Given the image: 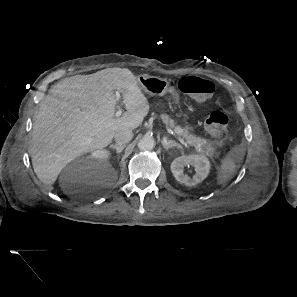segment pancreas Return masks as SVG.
Masks as SVG:
<instances>
[{
    "mask_svg": "<svg viewBox=\"0 0 297 297\" xmlns=\"http://www.w3.org/2000/svg\"><path fill=\"white\" fill-rule=\"evenodd\" d=\"M161 119L163 123L169 128L173 129L177 135H181L183 138L187 139L192 143V146L196 148V150L209 157L218 156L216 152V148L213 142L208 141L207 139L196 137L195 135L189 134V132L180 126H176L174 120L170 119L168 115L162 114Z\"/></svg>",
    "mask_w": 297,
    "mask_h": 297,
    "instance_id": "pancreas-1",
    "label": "pancreas"
}]
</instances>
